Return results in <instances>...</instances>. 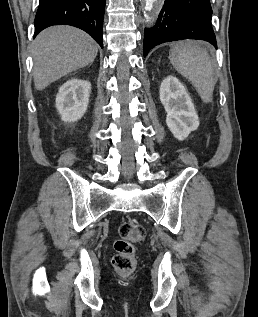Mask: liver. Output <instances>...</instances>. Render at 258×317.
Returning a JSON list of instances; mask_svg holds the SVG:
<instances>
[{"label":"liver","instance_id":"1","mask_svg":"<svg viewBox=\"0 0 258 317\" xmlns=\"http://www.w3.org/2000/svg\"><path fill=\"white\" fill-rule=\"evenodd\" d=\"M35 88L43 90L67 72L93 62L98 44L80 28L49 26L32 42Z\"/></svg>","mask_w":258,"mask_h":317}]
</instances>
